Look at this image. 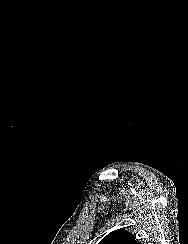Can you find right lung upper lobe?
<instances>
[{"label": "right lung upper lobe", "instance_id": "cb5924a9", "mask_svg": "<svg viewBox=\"0 0 188 244\" xmlns=\"http://www.w3.org/2000/svg\"><path fill=\"white\" fill-rule=\"evenodd\" d=\"M99 244H137V241L132 233L118 229L105 236Z\"/></svg>", "mask_w": 188, "mask_h": 244}]
</instances>
